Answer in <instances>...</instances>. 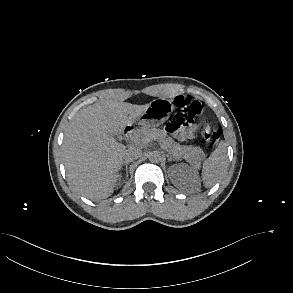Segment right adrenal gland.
<instances>
[{"label": "right adrenal gland", "mask_w": 293, "mask_h": 293, "mask_svg": "<svg viewBox=\"0 0 293 293\" xmlns=\"http://www.w3.org/2000/svg\"><path fill=\"white\" fill-rule=\"evenodd\" d=\"M129 163L130 162L125 161V162L122 163V166H121V169H122L123 166H125V168H126V177H128V165H129Z\"/></svg>", "instance_id": "right-adrenal-gland-1"}]
</instances>
